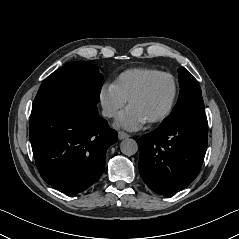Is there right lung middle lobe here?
I'll list each match as a JSON object with an SVG mask.
<instances>
[{
	"label": "right lung middle lobe",
	"mask_w": 239,
	"mask_h": 239,
	"mask_svg": "<svg viewBox=\"0 0 239 239\" xmlns=\"http://www.w3.org/2000/svg\"><path fill=\"white\" fill-rule=\"evenodd\" d=\"M103 76L89 62L66 63L48 76L40 86L32 105L35 113L48 103L67 96H78L98 103Z\"/></svg>",
	"instance_id": "right-lung-middle-lobe-1"
}]
</instances>
